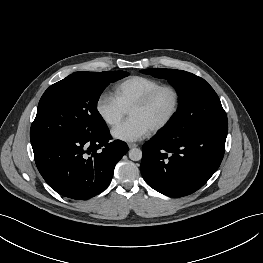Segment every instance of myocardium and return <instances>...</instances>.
<instances>
[{"mask_svg": "<svg viewBox=\"0 0 263 263\" xmlns=\"http://www.w3.org/2000/svg\"><path fill=\"white\" fill-rule=\"evenodd\" d=\"M163 90H169L173 94V98H174L173 106L169 114L161 122H159L151 129L152 133H156L167 127L177 115L181 104V95L179 90L174 85L171 84H160L159 86L155 87L150 92H148L144 97H142L139 101L134 103L129 108L130 110H132V109H143L147 107L154 100V98Z\"/></svg>", "mask_w": 263, "mask_h": 263, "instance_id": "myocardium-1", "label": "myocardium"}]
</instances>
